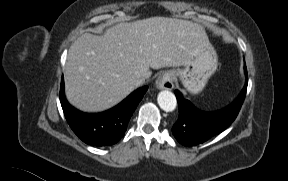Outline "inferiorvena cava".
Masks as SVG:
<instances>
[{
	"label": "inferior vena cava",
	"instance_id": "obj_1",
	"mask_svg": "<svg viewBox=\"0 0 288 181\" xmlns=\"http://www.w3.org/2000/svg\"><path fill=\"white\" fill-rule=\"evenodd\" d=\"M145 83V77H141L135 80L134 84L136 87L141 86Z\"/></svg>",
	"mask_w": 288,
	"mask_h": 181
}]
</instances>
